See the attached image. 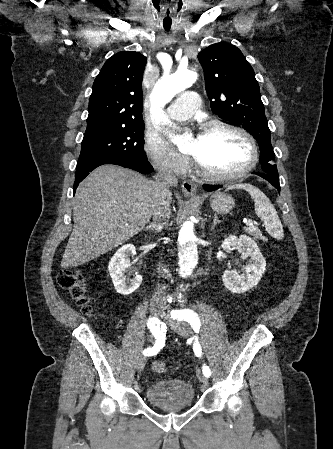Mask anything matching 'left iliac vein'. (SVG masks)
I'll return each instance as SVG.
<instances>
[{
  "instance_id": "1",
  "label": "left iliac vein",
  "mask_w": 333,
  "mask_h": 449,
  "mask_svg": "<svg viewBox=\"0 0 333 449\" xmlns=\"http://www.w3.org/2000/svg\"><path fill=\"white\" fill-rule=\"evenodd\" d=\"M161 317L167 325L180 336L187 337L190 335V329L188 326L184 323L173 320L169 314L168 308L163 310ZM197 377L203 386L206 387L208 385V378L200 370H197Z\"/></svg>"
}]
</instances>
